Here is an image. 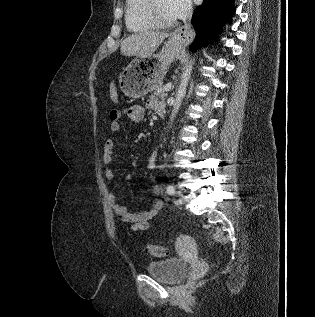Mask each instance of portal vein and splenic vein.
<instances>
[{
  "instance_id": "obj_1",
  "label": "portal vein and splenic vein",
  "mask_w": 315,
  "mask_h": 317,
  "mask_svg": "<svg viewBox=\"0 0 315 317\" xmlns=\"http://www.w3.org/2000/svg\"><path fill=\"white\" fill-rule=\"evenodd\" d=\"M171 89V83H168L164 86V91L167 92Z\"/></svg>"
}]
</instances>
